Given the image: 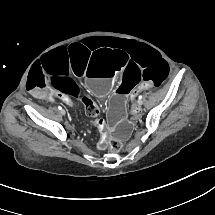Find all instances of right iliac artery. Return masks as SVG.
Returning a JSON list of instances; mask_svg holds the SVG:
<instances>
[{
	"mask_svg": "<svg viewBox=\"0 0 215 215\" xmlns=\"http://www.w3.org/2000/svg\"><path fill=\"white\" fill-rule=\"evenodd\" d=\"M58 109H59V110H62V107H61V106H58Z\"/></svg>",
	"mask_w": 215,
	"mask_h": 215,
	"instance_id": "obj_1",
	"label": "right iliac artery"
}]
</instances>
